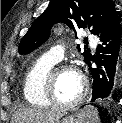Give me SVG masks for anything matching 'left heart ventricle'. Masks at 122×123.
I'll return each instance as SVG.
<instances>
[{"instance_id":"left-heart-ventricle-1","label":"left heart ventricle","mask_w":122,"mask_h":123,"mask_svg":"<svg viewBox=\"0 0 122 123\" xmlns=\"http://www.w3.org/2000/svg\"><path fill=\"white\" fill-rule=\"evenodd\" d=\"M82 88V78L79 72L73 69L60 71L56 77L55 94L64 102L77 97Z\"/></svg>"}]
</instances>
